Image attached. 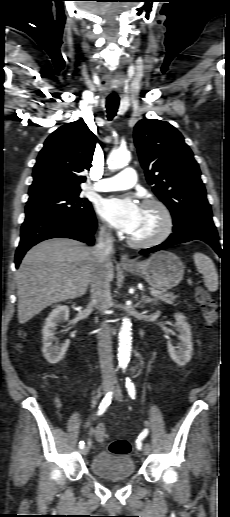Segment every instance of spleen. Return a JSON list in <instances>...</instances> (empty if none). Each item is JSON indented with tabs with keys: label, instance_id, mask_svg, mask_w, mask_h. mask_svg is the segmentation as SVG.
<instances>
[{
	"label": "spleen",
	"instance_id": "obj_1",
	"mask_svg": "<svg viewBox=\"0 0 230 517\" xmlns=\"http://www.w3.org/2000/svg\"><path fill=\"white\" fill-rule=\"evenodd\" d=\"M194 263L199 273L203 275L204 283L207 289L215 292L218 289V273L213 261L202 253H195Z\"/></svg>",
	"mask_w": 230,
	"mask_h": 517
}]
</instances>
